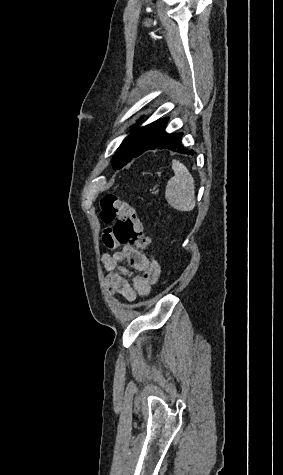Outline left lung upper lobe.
<instances>
[{
	"label": "left lung upper lobe",
	"mask_w": 283,
	"mask_h": 475,
	"mask_svg": "<svg viewBox=\"0 0 283 475\" xmlns=\"http://www.w3.org/2000/svg\"><path fill=\"white\" fill-rule=\"evenodd\" d=\"M142 128H143V127H141V128H138L137 130L133 131V132L131 133V134H132V136H136V135H138V134L141 132Z\"/></svg>",
	"instance_id": "left-lung-upper-lobe-1"
}]
</instances>
